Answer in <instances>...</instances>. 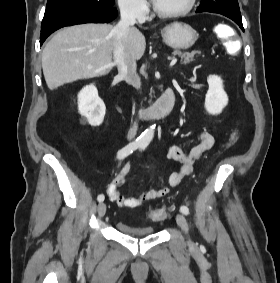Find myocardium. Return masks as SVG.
<instances>
[{
	"label": "myocardium",
	"instance_id": "myocardium-1",
	"mask_svg": "<svg viewBox=\"0 0 280 283\" xmlns=\"http://www.w3.org/2000/svg\"><path fill=\"white\" fill-rule=\"evenodd\" d=\"M197 0H188L186 6L175 12H161L153 5L154 13L162 19H174L187 15L195 6Z\"/></svg>",
	"mask_w": 280,
	"mask_h": 283
}]
</instances>
